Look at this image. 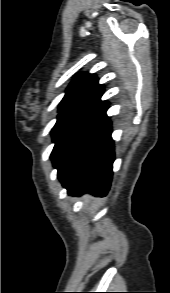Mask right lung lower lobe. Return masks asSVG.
<instances>
[{
    "label": "right lung lower lobe",
    "mask_w": 170,
    "mask_h": 293,
    "mask_svg": "<svg viewBox=\"0 0 170 293\" xmlns=\"http://www.w3.org/2000/svg\"><path fill=\"white\" fill-rule=\"evenodd\" d=\"M107 117L66 168L58 174L68 194L105 195L110 187L114 145Z\"/></svg>",
    "instance_id": "obj_1"
}]
</instances>
